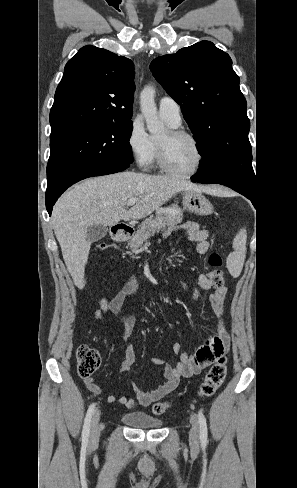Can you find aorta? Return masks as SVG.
<instances>
[{"label": "aorta", "instance_id": "1", "mask_svg": "<svg viewBox=\"0 0 297 488\" xmlns=\"http://www.w3.org/2000/svg\"><path fill=\"white\" fill-rule=\"evenodd\" d=\"M140 108L145 117L146 127L151 134L157 135L165 130V126L158 118L155 104V89L148 85L140 93Z\"/></svg>", "mask_w": 297, "mask_h": 488}]
</instances>
